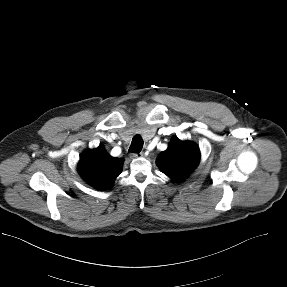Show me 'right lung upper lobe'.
Listing matches in <instances>:
<instances>
[{"instance_id":"cb5924a9","label":"right lung upper lobe","mask_w":287,"mask_h":287,"mask_svg":"<svg viewBox=\"0 0 287 287\" xmlns=\"http://www.w3.org/2000/svg\"><path fill=\"white\" fill-rule=\"evenodd\" d=\"M123 159L110 156L99 146L85 151L80 156L78 171L81 177L91 186L106 190L113 186L115 178L121 173Z\"/></svg>"}]
</instances>
